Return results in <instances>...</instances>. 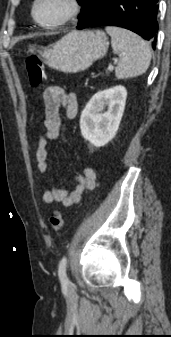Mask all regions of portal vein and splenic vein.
Here are the masks:
<instances>
[{
  "label": "portal vein and splenic vein",
  "mask_w": 171,
  "mask_h": 337,
  "mask_svg": "<svg viewBox=\"0 0 171 337\" xmlns=\"http://www.w3.org/2000/svg\"><path fill=\"white\" fill-rule=\"evenodd\" d=\"M118 62V60L117 59H115V61H114V64H116ZM108 70L110 71V72H112L113 70H114V66H109L108 67Z\"/></svg>",
  "instance_id": "portal-vein-and-splenic-vein-1"
}]
</instances>
